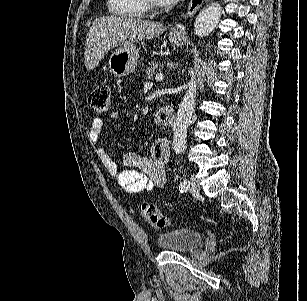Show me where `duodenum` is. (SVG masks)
Listing matches in <instances>:
<instances>
[{
  "label": "duodenum",
  "instance_id": "1",
  "mask_svg": "<svg viewBox=\"0 0 307 301\" xmlns=\"http://www.w3.org/2000/svg\"><path fill=\"white\" fill-rule=\"evenodd\" d=\"M157 123L164 126H170L175 121V112L171 105L163 106L157 114Z\"/></svg>",
  "mask_w": 307,
  "mask_h": 301
}]
</instances>
